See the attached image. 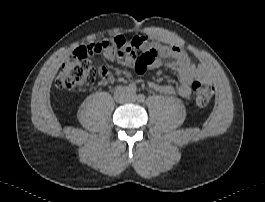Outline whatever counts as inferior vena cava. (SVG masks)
Instances as JSON below:
<instances>
[{
	"instance_id": "1",
	"label": "inferior vena cava",
	"mask_w": 265,
	"mask_h": 202,
	"mask_svg": "<svg viewBox=\"0 0 265 202\" xmlns=\"http://www.w3.org/2000/svg\"><path fill=\"white\" fill-rule=\"evenodd\" d=\"M127 90L125 88H118L114 94V98L117 102L126 101Z\"/></svg>"
}]
</instances>
